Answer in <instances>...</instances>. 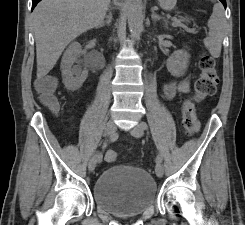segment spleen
Listing matches in <instances>:
<instances>
[{"label": "spleen", "mask_w": 245, "mask_h": 225, "mask_svg": "<svg viewBox=\"0 0 245 225\" xmlns=\"http://www.w3.org/2000/svg\"><path fill=\"white\" fill-rule=\"evenodd\" d=\"M225 23L224 9L221 4L216 3L208 21V37L204 39L205 47L214 58H218L221 53Z\"/></svg>", "instance_id": "obj_1"}]
</instances>
